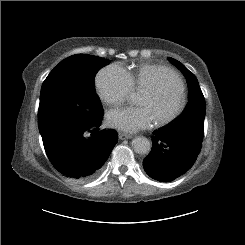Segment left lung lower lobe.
I'll list each match as a JSON object with an SVG mask.
<instances>
[{"instance_id": "1", "label": "left lung lower lobe", "mask_w": 245, "mask_h": 245, "mask_svg": "<svg viewBox=\"0 0 245 245\" xmlns=\"http://www.w3.org/2000/svg\"><path fill=\"white\" fill-rule=\"evenodd\" d=\"M152 149L143 160L145 172L153 179L169 182L185 174L196 161L202 143L163 130L154 132Z\"/></svg>"}]
</instances>
